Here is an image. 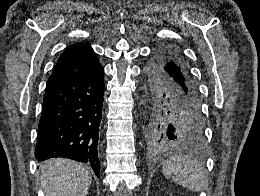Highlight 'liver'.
<instances>
[{
    "mask_svg": "<svg viewBox=\"0 0 260 196\" xmlns=\"http://www.w3.org/2000/svg\"><path fill=\"white\" fill-rule=\"evenodd\" d=\"M41 170L40 186L45 196H87L92 176L81 162L52 158Z\"/></svg>",
    "mask_w": 260,
    "mask_h": 196,
    "instance_id": "6515ba94",
    "label": "liver"
}]
</instances>
